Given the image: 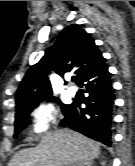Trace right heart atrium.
<instances>
[{
    "mask_svg": "<svg viewBox=\"0 0 135 166\" xmlns=\"http://www.w3.org/2000/svg\"><path fill=\"white\" fill-rule=\"evenodd\" d=\"M62 118L60 110L50 102L37 105L32 112L33 133L43 135Z\"/></svg>",
    "mask_w": 135,
    "mask_h": 166,
    "instance_id": "1",
    "label": "right heart atrium"
}]
</instances>
